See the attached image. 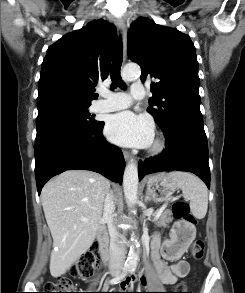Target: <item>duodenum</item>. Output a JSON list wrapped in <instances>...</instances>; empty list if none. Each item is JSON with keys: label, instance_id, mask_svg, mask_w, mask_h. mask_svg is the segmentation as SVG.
<instances>
[{"label": "duodenum", "instance_id": "410a0bca", "mask_svg": "<svg viewBox=\"0 0 245 293\" xmlns=\"http://www.w3.org/2000/svg\"><path fill=\"white\" fill-rule=\"evenodd\" d=\"M97 242L99 245V253L103 260L108 259V231L101 229L97 235Z\"/></svg>", "mask_w": 245, "mask_h": 293}]
</instances>
